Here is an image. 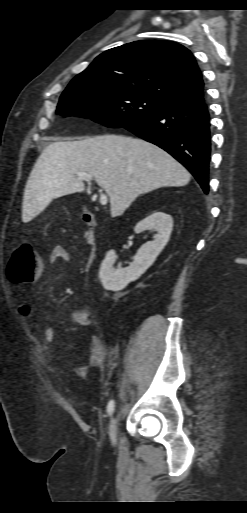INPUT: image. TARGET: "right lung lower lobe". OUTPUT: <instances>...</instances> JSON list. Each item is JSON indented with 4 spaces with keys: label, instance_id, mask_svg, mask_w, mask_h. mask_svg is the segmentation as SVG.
Returning <instances> with one entry per match:
<instances>
[{
    "label": "right lung lower lobe",
    "instance_id": "1",
    "mask_svg": "<svg viewBox=\"0 0 247 513\" xmlns=\"http://www.w3.org/2000/svg\"><path fill=\"white\" fill-rule=\"evenodd\" d=\"M210 123L204 99L169 105L125 129L151 142L182 163L204 192L209 191Z\"/></svg>",
    "mask_w": 247,
    "mask_h": 513
}]
</instances>
